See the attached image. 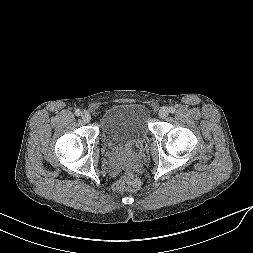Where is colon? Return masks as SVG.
<instances>
[{
    "mask_svg": "<svg viewBox=\"0 0 253 253\" xmlns=\"http://www.w3.org/2000/svg\"><path fill=\"white\" fill-rule=\"evenodd\" d=\"M140 187V180L131 171H125L122 178L115 184L118 192L135 191Z\"/></svg>",
    "mask_w": 253,
    "mask_h": 253,
    "instance_id": "colon-1",
    "label": "colon"
}]
</instances>
